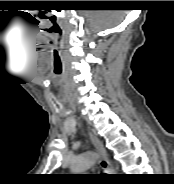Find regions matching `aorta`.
<instances>
[{
  "label": "aorta",
  "mask_w": 174,
  "mask_h": 184,
  "mask_svg": "<svg viewBox=\"0 0 174 184\" xmlns=\"http://www.w3.org/2000/svg\"><path fill=\"white\" fill-rule=\"evenodd\" d=\"M96 155L94 153H87L76 157L70 166L72 172L80 173L87 170L95 162Z\"/></svg>",
  "instance_id": "762f6f07"
}]
</instances>
